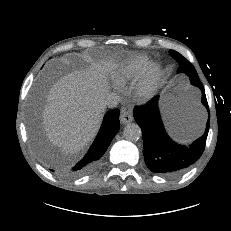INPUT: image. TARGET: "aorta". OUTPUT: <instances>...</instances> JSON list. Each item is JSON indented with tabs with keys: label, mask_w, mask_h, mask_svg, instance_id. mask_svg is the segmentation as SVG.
I'll use <instances>...</instances> for the list:
<instances>
[{
	"label": "aorta",
	"mask_w": 231,
	"mask_h": 231,
	"mask_svg": "<svg viewBox=\"0 0 231 231\" xmlns=\"http://www.w3.org/2000/svg\"><path fill=\"white\" fill-rule=\"evenodd\" d=\"M123 136L128 141H138L142 136L141 128L136 123L127 124L124 127Z\"/></svg>",
	"instance_id": "1"
}]
</instances>
